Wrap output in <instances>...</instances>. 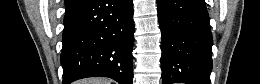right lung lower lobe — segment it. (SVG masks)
I'll return each instance as SVG.
<instances>
[{
	"label": "right lung lower lobe",
	"instance_id": "1",
	"mask_svg": "<svg viewBox=\"0 0 260 84\" xmlns=\"http://www.w3.org/2000/svg\"><path fill=\"white\" fill-rule=\"evenodd\" d=\"M133 14L132 0H83L66 11L63 84L86 77L132 84Z\"/></svg>",
	"mask_w": 260,
	"mask_h": 84
}]
</instances>
